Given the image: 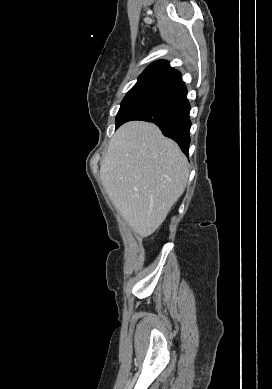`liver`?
I'll list each match as a JSON object with an SVG mask.
<instances>
[{
    "label": "liver",
    "mask_w": 272,
    "mask_h": 389,
    "mask_svg": "<svg viewBox=\"0 0 272 389\" xmlns=\"http://www.w3.org/2000/svg\"><path fill=\"white\" fill-rule=\"evenodd\" d=\"M187 158L160 129L142 121L122 125L110 140L100 178L114 206L134 232L147 237L182 195Z\"/></svg>",
    "instance_id": "obj_1"
}]
</instances>
